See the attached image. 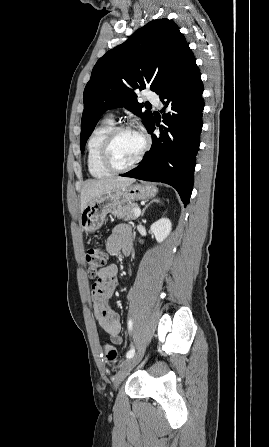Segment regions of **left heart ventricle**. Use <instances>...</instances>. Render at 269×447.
Instances as JSON below:
<instances>
[{"instance_id":"obj_1","label":"left heart ventricle","mask_w":269,"mask_h":447,"mask_svg":"<svg viewBox=\"0 0 269 447\" xmlns=\"http://www.w3.org/2000/svg\"><path fill=\"white\" fill-rule=\"evenodd\" d=\"M145 145L143 133L138 129L120 132L112 144V159L119 166L132 163Z\"/></svg>"}]
</instances>
